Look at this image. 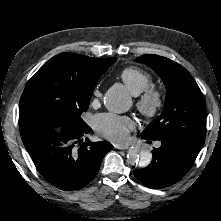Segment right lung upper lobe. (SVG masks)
Wrapping results in <instances>:
<instances>
[{
    "label": "right lung upper lobe",
    "instance_id": "1",
    "mask_svg": "<svg viewBox=\"0 0 221 221\" xmlns=\"http://www.w3.org/2000/svg\"><path fill=\"white\" fill-rule=\"evenodd\" d=\"M106 59L72 53H61L51 58L41 70H49L57 77L74 82L95 83L99 80ZM28 126V125H27ZM26 126L21 127L20 129Z\"/></svg>",
    "mask_w": 221,
    "mask_h": 221
}]
</instances>
